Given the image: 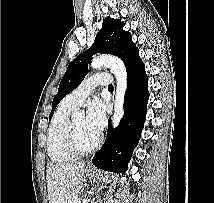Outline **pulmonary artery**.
<instances>
[{"label": "pulmonary artery", "mask_w": 214, "mask_h": 203, "mask_svg": "<svg viewBox=\"0 0 214 203\" xmlns=\"http://www.w3.org/2000/svg\"><path fill=\"white\" fill-rule=\"evenodd\" d=\"M110 84L111 77L108 73H97L85 79L67 98L71 104L79 107L96 86H109Z\"/></svg>", "instance_id": "1"}]
</instances>
